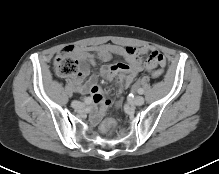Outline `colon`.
<instances>
[{"mask_svg":"<svg viewBox=\"0 0 219 174\" xmlns=\"http://www.w3.org/2000/svg\"><path fill=\"white\" fill-rule=\"evenodd\" d=\"M54 68L60 77L73 76L78 72L79 63L77 59L71 54L70 48L61 50L55 57ZM163 76V70L157 69L152 73V77L160 80ZM116 127L114 119H106L102 122L100 130L103 133H112Z\"/></svg>","mask_w":219,"mask_h":174,"instance_id":"obj_1","label":"colon"}]
</instances>
